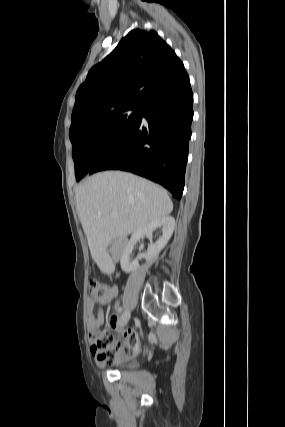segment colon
<instances>
[{
    "mask_svg": "<svg viewBox=\"0 0 285 427\" xmlns=\"http://www.w3.org/2000/svg\"><path fill=\"white\" fill-rule=\"evenodd\" d=\"M109 291V286L95 278L89 281V296L94 300H100V298ZM90 338L93 341L94 350L98 353V356L104 360H113L114 351L113 344L114 339L108 330L94 329L90 332ZM138 351V342L135 335H133L129 341V346L125 348V357L133 356Z\"/></svg>",
    "mask_w": 285,
    "mask_h": 427,
    "instance_id": "5ec220e1",
    "label": "colon"
}]
</instances>
